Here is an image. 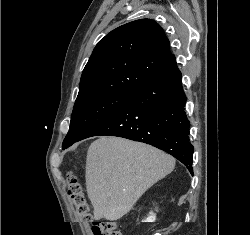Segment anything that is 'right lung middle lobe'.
I'll use <instances>...</instances> for the list:
<instances>
[{"instance_id": "1", "label": "right lung middle lobe", "mask_w": 250, "mask_h": 235, "mask_svg": "<svg viewBox=\"0 0 250 235\" xmlns=\"http://www.w3.org/2000/svg\"><path fill=\"white\" fill-rule=\"evenodd\" d=\"M132 95L100 92L76 99L63 149L78 141L88 130L120 108Z\"/></svg>"}]
</instances>
